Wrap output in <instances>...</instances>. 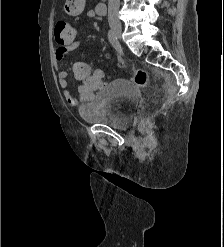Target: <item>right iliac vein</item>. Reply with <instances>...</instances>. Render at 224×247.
<instances>
[{
  "instance_id": "right-iliac-vein-1",
  "label": "right iliac vein",
  "mask_w": 224,
  "mask_h": 247,
  "mask_svg": "<svg viewBox=\"0 0 224 247\" xmlns=\"http://www.w3.org/2000/svg\"><path fill=\"white\" fill-rule=\"evenodd\" d=\"M111 30L118 38H121V34H122L121 25H119V24H111Z\"/></svg>"
}]
</instances>
